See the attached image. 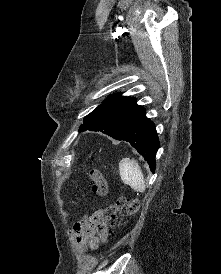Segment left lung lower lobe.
I'll use <instances>...</instances> for the list:
<instances>
[{"mask_svg": "<svg viewBox=\"0 0 221 274\" xmlns=\"http://www.w3.org/2000/svg\"><path fill=\"white\" fill-rule=\"evenodd\" d=\"M93 123L83 131H101L116 140L129 142L155 171L159 139L153 122L136 99L108 102L93 111Z\"/></svg>", "mask_w": 221, "mask_h": 274, "instance_id": "1", "label": "left lung lower lobe"}]
</instances>
